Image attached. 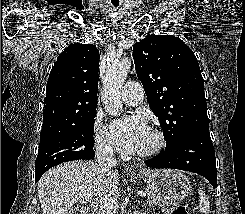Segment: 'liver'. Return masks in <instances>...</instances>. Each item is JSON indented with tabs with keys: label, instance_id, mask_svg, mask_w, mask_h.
Masks as SVG:
<instances>
[{
	"label": "liver",
	"instance_id": "liver-1",
	"mask_svg": "<svg viewBox=\"0 0 245 214\" xmlns=\"http://www.w3.org/2000/svg\"><path fill=\"white\" fill-rule=\"evenodd\" d=\"M119 185L118 173L95 162L74 161L47 171L38 182L42 214H67L87 194L110 196Z\"/></svg>",
	"mask_w": 245,
	"mask_h": 214
}]
</instances>
